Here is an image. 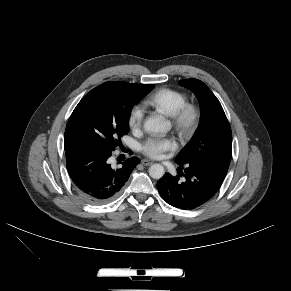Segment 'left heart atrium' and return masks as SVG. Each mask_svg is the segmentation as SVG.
<instances>
[{
    "mask_svg": "<svg viewBox=\"0 0 291 291\" xmlns=\"http://www.w3.org/2000/svg\"><path fill=\"white\" fill-rule=\"evenodd\" d=\"M175 148L176 142L169 137H151L141 146L142 152L150 158H160L164 152L174 150Z\"/></svg>",
    "mask_w": 291,
    "mask_h": 291,
    "instance_id": "1",
    "label": "left heart atrium"
}]
</instances>
